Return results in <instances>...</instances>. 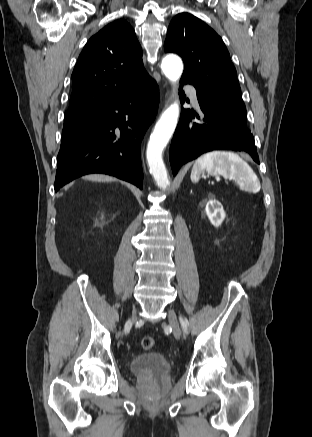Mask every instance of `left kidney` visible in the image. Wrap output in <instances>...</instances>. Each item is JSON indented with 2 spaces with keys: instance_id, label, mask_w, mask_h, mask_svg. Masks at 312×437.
Here are the masks:
<instances>
[{
  "instance_id": "obj_1",
  "label": "left kidney",
  "mask_w": 312,
  "mask_h": 437,
  "mask_svg": "<svg viewBox=\"0 0 312 437\" xmlns=\"http://www.w3.org/2000/svg\"><path fill=\"white\" fill-rule=\"evenodd\" d=\"M206 215L211 224L219 227L225 218V213L222 204L215 199L213 195H209V201L205 207Z\"/></svg>"
}]
</instances>
